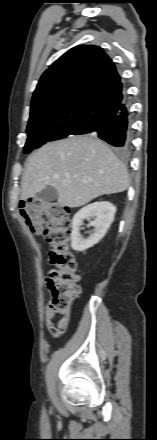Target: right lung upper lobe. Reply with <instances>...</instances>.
<instances>
[{"label": "right lung upper lobe", "mask_w": 157, "mask_h": 440, "mask_svg": "<svg viewBox=\"0 0 157 440\" xmlns=\"http://www.w3.org/2000/svg\"><path fill=\"white\" fill-rule=\"evenodd\" d=\"M124 97L121 78L102 48L79 45L42 75L32 97L29 121L86 124L119 106Z\"/></svg>", "instance_id": "cb5924a9"}]
</instances>
